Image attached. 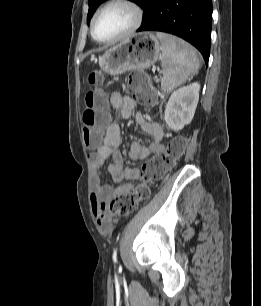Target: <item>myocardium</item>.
I'll list each match as a JSON object with an SVG mask.
<instances>
[{"mask_svg": "<svg viewBox=\"0 0 261 306\" xmlns=\"http://www.w3.org/2000/svg\"><path fill=\"white\" fill-rule=\"evenodd\" d=\"M114 5H123L131 9L134 15V20L131 26L124 33L118 36L112 37L110 39H105V40L98 39L95 35V26H96L97 19L103 11H105L107 8L114 6ZM143 17H144L143 9L135 0H109L106 3H104L95 12L92 18V21H91L90 33H91L92 38L99 43H113V42L119 41L133 34L141 26Z\"/></svg>", "mask_w": 261, "mask_h": 306, "instance_id": "1", "label": "myocardium"}]
</instances>
